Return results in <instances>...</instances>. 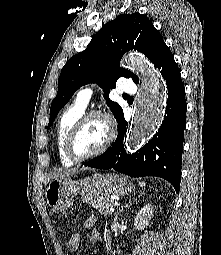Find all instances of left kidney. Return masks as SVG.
I'll return each mask as SVG.
<instances>
[{
	"label": "left kidney",
	"instance_id": "obj_1",
	"mask_svg": "<svg viewBox=\"0 0 221 255\" xmlns=\"http://www.w3.org/2000/svg\"><path fill=\"white\" fill-rule=\"evenodd\" d=\"M154 207L152 204L145 205L135 216L134 225L138 230H143L149 225L153 216Z\"/></svg>",
	"mask_w": 221,
	"mask_h": 255
}]
</instances>
